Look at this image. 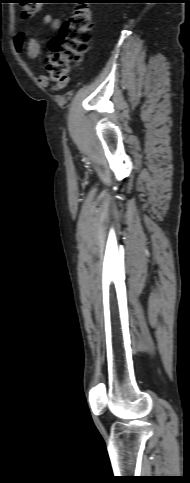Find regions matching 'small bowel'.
Instances as JSON below:
<instances>
[{
    "label": "small bowel",
    "mask_w": 190,
    "mask_h": 483,
    "mask_svg": "<svg viewBox=\"0 0 190 483\" xmlns=\"http://www.w3.org/2000/svg\"><path fill=\"white\" fill-rule=\"evenodd\" d=\"M42 22L50 25L53 31H58L61 27V21L53 18L50 14H44L42 16ZM13 43L18 52L25 47L27 56L31 59L36 58L40 53V43L34 39H25L22 35L18 34L14 37ZM38 82L42 85H46L49 82V78L44 74L40 75L38 76Z\"/></svg>",
    "instance_id": "c3829d8e"
}]
</instances>
